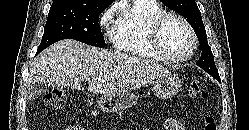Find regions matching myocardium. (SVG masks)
Wrapping results in <instances>:
<instances>
[{
	"mask_svg": "<svg viewBox=\"0 0 249 130\" xmlns=\"http://www.w3.org/2000/svg\"><path fill=\"white\" fill-rule=\"evenodd\" d=\"M177 20L180 23L183 24V26L186 28V30L189 33L190 39H191V46L188 51V53L182 57H173L170 54H168L162 44V31L164 26L167 24L170 20ZM149 39L151 46L153 50L156 52V54L163 60L170 62V63H184L187 62L192 58L194 55L197 46H198V39L196 36V33L192 27V25L188 22L186 18L183 16L172 13V12H166L162 14L161 16L157 17L151 24L149 29Z\"/></svg>",
	"mask_w": 249,
	"mask_h": 130,
	"instance_id": "obj_1",
	"label": "myocardium"
}]
</instances>
